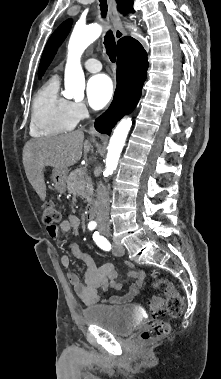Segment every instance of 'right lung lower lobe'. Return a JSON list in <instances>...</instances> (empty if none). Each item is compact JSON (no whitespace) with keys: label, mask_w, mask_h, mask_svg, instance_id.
Here are the masks:
<instances>
[{"label":"right lung lower lobe","mask_w":221,"mask_h":379,"mask_svg":"<svg viewBox=\"0 0 221 379\" xmlns=\"http://www.w3.org/2000/svg\"><path fill=\"white\" fill-rule=\"evenodd\" d=\"M148 69L147 53L131 37L118 42L117 87L110 107L96 120L98 132L110 135L112 128L125 114L136 107Z\"/></svg>","instance_id":"98d812e1"}]
</instances>
